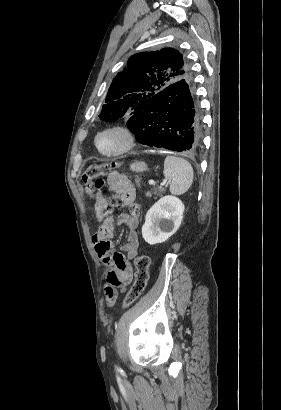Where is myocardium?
Wrapping results in <instances>:
<instances>
[{
  "label": "myocardium",
  "mask_w": 281,
  "mask_h": 410,
  "mask_svg": "<svg viewBox=\"0 0 281 410\" xmlns=\"http://www.w3.org/2000/svg\"><path fill=\"white\" fill-rule=\"evenodd\" d=\"M107 133L117 134L122 138L123 143L120 148L114 151H104L103 149L100 148L99 139L102 135L107 134ZM136 140H137L136 134L130 127H128L127 125H123V124H114V125H109V126L102 128L95 134L94 146L97 152L103 156L117 157V156H121L131 151L136 145Z\"/></svg>",
  "instance_id": "myocardium-1"
}]
</instances>
